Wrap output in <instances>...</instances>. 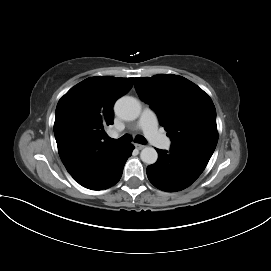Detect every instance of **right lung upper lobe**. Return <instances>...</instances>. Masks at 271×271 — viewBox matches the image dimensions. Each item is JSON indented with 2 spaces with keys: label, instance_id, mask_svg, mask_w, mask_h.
<instances>
[{
  "label": "right lung upper lobe",
  "instance_id": "1",
  "mask_svg": "<svg viewBox=\"0 0 271 271\" xmlns=\"http://www.w3.org/2000/svg\"><path fill=\"white\" fill-rule=\"evenodd\" d=\"M134 78L91 77L58 102L54 134L60 158L79 183L92 176L122 145L105 140L113 105L133 86Z\"/></svg>",
  "mask_w": 271,
  "mask_h": 271
}]
</instances>
